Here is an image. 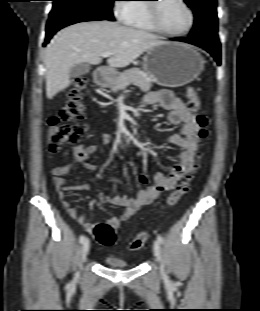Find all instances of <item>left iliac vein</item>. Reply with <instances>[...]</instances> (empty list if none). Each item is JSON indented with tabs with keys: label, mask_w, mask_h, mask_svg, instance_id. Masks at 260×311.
<instances>
[{
	"label": "left iliac vein",
	"mask_w": 260,
	"mask_h": 311,
	"mask_svg": "<svg viewBox=\"0 0 260 311\" xmlns=\"http://www.w3.org/2000/svg\"><path fill=\"white\" fill-rule=\"evenodd\" d=\"M153 252L159 262H162L161 246L158 240L153 243Z\"/></svg>",
	"instance_id": "left-iliac-vein-1"
}]
</instances>
